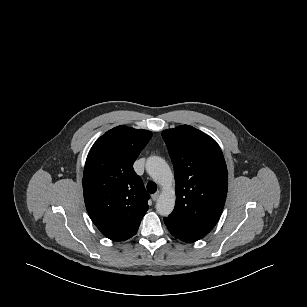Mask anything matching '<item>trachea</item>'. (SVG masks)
I'll use <instances>...</instances> for the list:
<instances>
[{"label": "trachea", "instance_id": "1", "mask_svg": "<svg viewBox=\"0 0 307 307\" xmlns=\"http://www.w3.org/2000/svg\"><path fill=\"white\" fill-rule=\"evenodd\" d=\"M147 190L149 193L153 194L157 191V185L154 182L150 181L147 183Z\"/></svg>", "mask_w": 307, "mask_h": 307}]
</instances>
